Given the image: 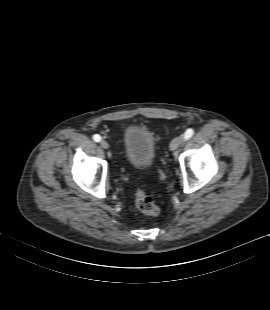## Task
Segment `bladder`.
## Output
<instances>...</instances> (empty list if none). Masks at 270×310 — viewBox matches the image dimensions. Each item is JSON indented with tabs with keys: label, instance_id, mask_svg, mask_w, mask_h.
<instances>
[{
	"label": "bladder",
	"instance_id": "obj_1",
	"mask_svg": "<svg viewBox=\"0 0 270 310\" xmlns=\"http://www.w3.org/2000/svg\"><path fill=\"white\" fill-rule=\"evenodd\" d=\"M123 151L128 165L139 170L147 169L156 158L154 137L143 127L130 126L123 134Z\"/></svg>",
	"mask_w": 270,
	"mask_h": 310
}]
</instances>
